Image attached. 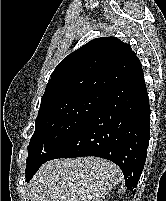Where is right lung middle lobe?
Here are the masks:
<instances>
[{
    "label": "right lung middle lobe",
    "instance_id": "right-lung-middle-lobe-1",
    "mask_svg": "<svg viewBox=\"0 0 166 201\" xmlns=\"http://www.w3.org/2000/svg\"><path fill=\"white\" fill-rule=\"evenodd\" d=\"M102 95L87 94L59 102L39 114L28 146L26 181L45 163L55 148L99 105Z\"/></svg>",
    "mask_w": 166,
    "mask_h": 201
}]
</instances>
